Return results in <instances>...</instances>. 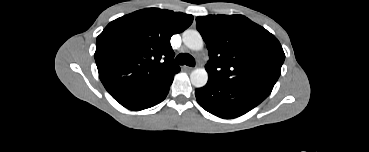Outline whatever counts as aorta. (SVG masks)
Masks as SVG:
<instances>
[{
  "instance_id": "762f6f07",
  "label": "aorta",
  "mask_w": 369,
  "mask_h": 152,
  "mask_svg": "<svg viewBox=\"0 0 369 152\" xmlns=\"http://www.w3.org/2000/svg\"><path fill=\"white\" fill-rule=\"evenodd\" d=\"M183 43L194 51L202 50L204 46L202 36L197 30H186L183 33ZM190 80L193 86L203 87L208 81V73L204 68H196L191 72Z\"/></svg>"
}]
</instances>
